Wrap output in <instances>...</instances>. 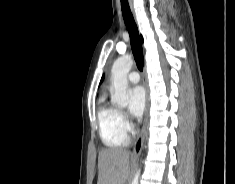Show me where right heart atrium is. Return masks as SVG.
<instances>
[{
	"label": "right heart atrium",
	"mask_w": 235,
	"mask_h": 184,
	"mask_svg": "<svg viewBox=\"0 0 235 184\" xmlns=\"http://www.w3.org/2000/svg\"><path fill=\"white\" fill-rule=\"evenodd\" d=\"M119 119H120V122H121L122 126L124 127V129L126 131H129L131 129V126H130V122H129L127 114L123 111H120L119 112Z\"/></svg>",
	"instance_id": "obj_1"
}]
</instances>
